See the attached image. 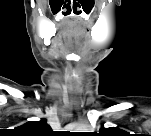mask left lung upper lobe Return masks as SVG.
Instances as JSON below:
<instances>
[{
	"label": "left lung upper lobe",
	"instance_id": "5c2ea615",
	"mask_svg": "<svg viewBox=\"0 0 151 136\" xmlns=\"http://www.w3.org/2000/svg\"><path fill=\"white\" fill-rule=\"evenodd\" d=\"M114 131H117V128H101L100 129V132L103 134V135H108L110 134L111 132H114Z\"/></svg>",
	"mask_w": 151,
	"mask_h": 136
}]
</instances>
